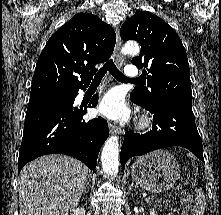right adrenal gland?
I'll return each mask as SVG.
<instances>
[{
	"mask_svg": "<svg viewBox=\"0 0 221 215\" xmlns=\"http://www.w3.org/2000/svg\"><path fill=\"white\" fill-rule=\"evenodd\" d=\"M89 187H90V179L87 181V184H86L85 190H89Z\"/></svg>",
	"mask_w": 221,
	"mask_h": 215,
	"instance_id": "2a0ac1e0",
	"label": "right adrenal gland"
}]
</instances>
